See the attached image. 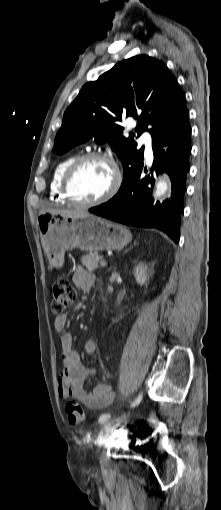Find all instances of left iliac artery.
I'll return each mask as SVG.
<instances>
[{
    "label": "left iliac artery",
    "instance_id": "1",
    "mask_svg": "<svg viewBox=\"0 0 221 510\" xmlns=\"http://www.w3.org/2000/svg\"><path fill=\"white\" fill-rule=\"evenodd\" d=\"M142 400V394H139L138 397L131 403V407L137 406ZM110 414H102L99 418V423L103 424L105 423L109 418Z\"/></svg>",
    "mask_w": 221,
    "mask_h": 510
}]
</instances>
